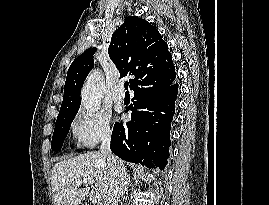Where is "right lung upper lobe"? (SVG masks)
<instances>
[{
    "label": "right lung upper lobe",
    "mask_w": 269,
    "mask_h": 205,
    "mask_svg": "<svg viewBox=\"0 0 269 205\" xmlns=\"http://www.w3.org/2000/svg\"><path fill=\"white\" fill-rule=\"evenodd\" d=\"M95 48L78 56L68 69L58 118L77 113L81 87L94 67ZM109 55L121 76L131 75L134 92L175 80L168 46L158 30L142 18L128 16L112 35Z\"/></svg>",
    "instance_id": "right-lung-upper-lobe-1"
}]
</instances>
